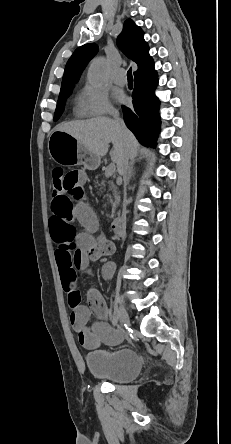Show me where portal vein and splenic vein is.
Listing matches in <instances>:
<instances>
[{
    "label": "portal vein and splenic vein",
    "mask_w": 231,
    "mask_h": 444,
    "mask_svg": "<svg viewBox=\"0 0 231 444\" xmlns=\"http://www.w3.org/2000/svg\"><path fill=\"white\" fill-rule=\"evenodd\" d=\"M115 169H116V167H115V164H114V163L109 164V165L107 166L106 170H105V176H106L107 178H108V177H111V176L114 174Z\"/></svg>",
    "instance_id": "obj_1"
}]
</instances>
